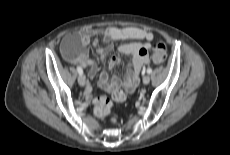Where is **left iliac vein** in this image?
I'll use <instances>...</instances> for the list:
<instances>
[{"label":"left iliac vein","instance_id":"obj_1","mask_svg":"<svg viewBox=\"0 0 230 155\" xmlns=\"http://www.w3.org/2000/svg\"><path fill=\"white\" fill-rule=\"evenodd\" d=\"M150 82V77L148 75L143 77V83L148 84Z\"/></svg>","mask_w":230,"mask_h":155}]
</instances>
